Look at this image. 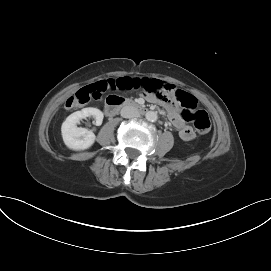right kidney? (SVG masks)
<instances>
[{
  "label": "right kidney",
  "instance_id": "obj_1",
  "mask_svg": "<svg viewBox=\"0 0 271 271\" xmlns=\"http://www.w3.org/2000/svg\"><path fill=\"white\" fill-rule=\"evenodd\" d=\"M93 116L95 125L102 124L104 115L97 108H84L69 115L61 127L62 137L65 145L73 150H85L91 147L96 139L95 134L86 128L77 127L81 119Z\"/></svg>",
  "mask_w": 271,
  "mask_h": 271
}]
</instances>
